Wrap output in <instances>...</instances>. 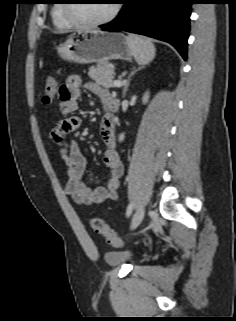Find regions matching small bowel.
Listing matches in <instances>:
<instances>
[{
  "instance_id": "small-bowel-1",
  "label": "small bowel",
  "mask_w": 236,
  "mask_h": 321,
  "mask_svg": "<svg viewBox=\"0 0 236 321\" xmlns=\"http://www.w3.org/2000/svg\"><path fill=\"white\" fill-rule=\"evenodd\" d=\"M82 89L94 94L102 102L105 114L101 120V135L106 148L103 162L109 170L106 187L90 188L82 181L86 168V158L77 143L68 140L66 135L76 131L81 125L79 117L70 116L78 110ZM59 110L64 118L51 130L50 138L58 148L61 159L67 166L65 192L75 202L82 205L101 204L107 200H116L123 164L116 150V124L114 117L108 112V101L111 98L108 90L94 82H84L78 75H70L59 89Z\"/></svg>"
}]
</instances>
